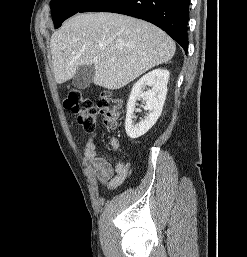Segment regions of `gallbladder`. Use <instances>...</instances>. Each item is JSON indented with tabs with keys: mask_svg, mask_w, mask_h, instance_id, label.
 I'll use <instances>...</instances> for the list:
<instances>
[{
	"mask_svg": "<svg viewBox=\"0 0 247 257\" xmlns=\"http://www.w3.org/2000/svg\"><path fill=\"white\" fill-rule=\"evenodd\" d=\"M94 74V65H82L76 70L72 85L77 89H85L92 83Z\"/></svg>",
	"mask_w": 247,
	"mask_h": 257,
	"instance_id": "bac80fb5",
	"label": "gallbladder"
}]
</instances>
